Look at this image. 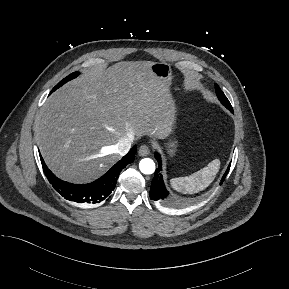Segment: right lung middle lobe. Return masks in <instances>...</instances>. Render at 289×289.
<instances>
[{"instance_id": "right-lung-middle-lobe-1", "label": "right lung middle lobe", "mask_w": 289, "mask_h": 289, "mask_svg": "<svg viewBox=\"0 0 289 289\" xmlns=\"http://www.w3.org/2000/svg\"><path fill=\"white\" fill-rule=\"evenodd\" d=\"M79 73L78 72H74L72 74H70L69 76H67L66 78H64L62 81H60L51 91V93L53 91H55L56 89H58L59 87H61L62 85H64L66 82H68L69 80H72L73 78H75Z\"/></svg>"}]
</instances>
